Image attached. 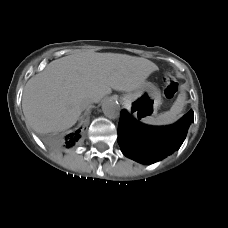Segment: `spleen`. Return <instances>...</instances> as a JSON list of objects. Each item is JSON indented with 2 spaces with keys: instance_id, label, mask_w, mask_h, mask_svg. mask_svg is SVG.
<instances>
[{
  "instance_id": "obj_1",
  "label": "spleen",
  "mask_w": 228,
  "mask_h": 228,
  "mask_svg": "<svg viewBox=\"0 0 228 228\" xmlns=\"http://www.w3.org/2000/svg\"><path fill=\"white\" fill-rule=\"evenodd\" d=\"M186 100L185 92H181L176 101L173 103L169 111L161 113L156 117H150L144 120L149 125H169L178 120V116L181 114Z\"/></svg>"
}]
</instances>
